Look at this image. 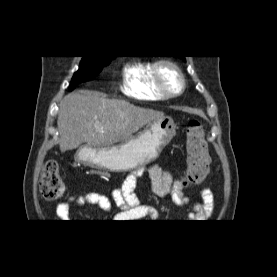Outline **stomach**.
I'll return each instance as SVG.
<instances>
[{"instance_id": "1", "label": "stomach", "mask_w": 277, "mask_h": 277, "mask_svg": "<svg viewBox=\"0 0 277 277\" xmlns=\"http://www.w3.org/2000/svg\"><path fill=\"white\" fill-rule=\"evenodd\" d=\"M175 134L173 119L163 117L146 124L137 135L118 145H83L77 150L75 159L92 168L125 172L156 160Z\"/></svg>"}]
</instances>
